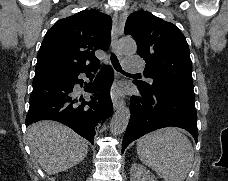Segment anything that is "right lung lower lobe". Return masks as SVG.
I'll return each instance as SVG.
<instances>
[{"mask_svg": "<svg viewBox=\"0 0 228 181\" xmlns=\"http://www.w3.org/2000/svg\"><path fill=\"white\" fill-rule=\"evenodd\" d=\"M93 69L34 79L26 126L51 119L67 125L93 144L95 126L113 113L109 97L113 69L104 66L92 83L83 85L79 74L85 73L89 77ZM77 84L83 87L84 95Z\"/></svg>", "mask_w": 228, "mask_h": 181, "instance_id": "1", "label": "right lung lower lobe"}]
</instances>
